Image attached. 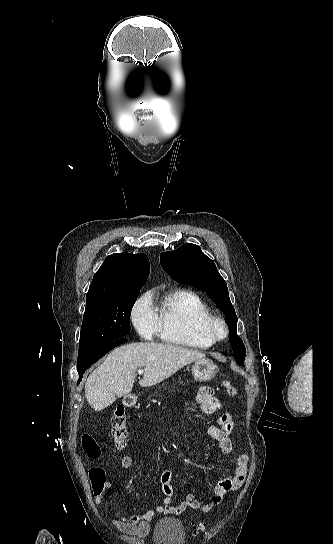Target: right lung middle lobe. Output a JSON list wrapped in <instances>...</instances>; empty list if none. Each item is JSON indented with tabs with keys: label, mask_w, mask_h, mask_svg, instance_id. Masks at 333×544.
Instances as JSON below:
<instances>
[{
	"label": "right lung middle lobe",
	"mask_w": 333,
	"mask_h": 544,
	"mask_svg": "<svg viewBox=\"0 0 333 544\" xmlns=\"http://www.w3.org/2000/svg\"><path fill=\"white\" fill-rule=\"evenodd\" d=\"M139 292L86 302L77 367L130 332V313Z\"/></svg>",
	"instance_id": "obj_1"
}]
</instances>
